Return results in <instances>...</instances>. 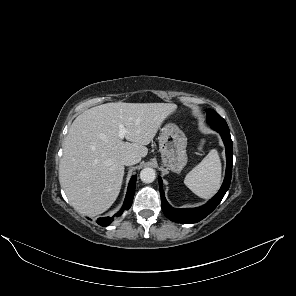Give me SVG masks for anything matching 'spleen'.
<instances>
[{
	"mask_svg": "<svg viewBox=\"0 0 296 296\" xmlns=\"http://www.w3.org/2000/svg\"><path fill=\"white\" fill-rule=\"evenodd\" d=\"M221 161L216 149H212L204 159L185 177V185L197 196L208 199L219 189L221 182Z\"/></svg>",
	"mask_w": 296,
	"mask_h": 296,
	"instance_id": "3e777b00",
	"label": "spleen"
}]
</instances>
